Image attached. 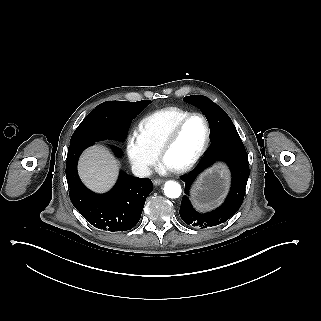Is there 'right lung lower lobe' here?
<instances>
[{
  "label": "right lung lower lobe",
  "mask_w": 321,
  "mask_h": 321,
  "mask_svg": "<svg viewBox=\"0 0 321 321\" xmlns=\"http://www.w3.org/2000/svg\"><path fill=\"white\" fill-rule=\"evenodd\" d=\"M97 115L108 128L109 139L123 140L131 121L143 110L132 102L107 101L97 106ZM94 141H81L68 148L66 178L70 200L80 214L94 227L106 231H127L139 221L146 197L152 192V181L120 172L111 191L95 194L81 182L77 162L84 149ZM116 155L120 148L112 146Z\"/></svg>",
  "instance_id": "obj_1"
}]
</instances>
